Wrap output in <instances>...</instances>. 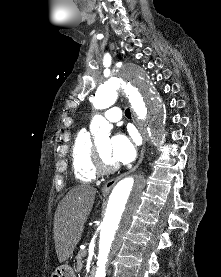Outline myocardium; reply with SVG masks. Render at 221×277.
I'll list each match as a JSON object with an SVG mask.
<instances>
[{
    "label": "myocardium",
    "mask_w": 221,
    "mask_h": 277,
    "mask_svg": "<svg viewBox=\"0 0 221 277\" xmlns=\"http://www.w3.org/2000/svg\"><path fill=\"white\" fill-rule=\"evenodd\" d=\"M93 166L98 174H110L119 168L117 163H105L97 144H93Z\"/></svg>",
    "instance_id": "1"
}]
</instances>
